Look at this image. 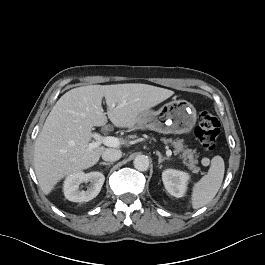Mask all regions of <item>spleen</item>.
Instances as JSON below:
<instances>
[{"instance_id": "3e777b00", "label": "spleen", "mask_w": 265, "mask_h": 265, "mask_svg": "<svg viewBox=\"0 0 265 265\" xmlns=\"http://www.w3.org/2000/svg\"><path fill=\"white\" fill-rule=\"evenodd\" d=\"M224 172L223 158L219 155L214 156L208 173L193 186L190 202L194 209H199L212 201L221 187Z\"/></svg>"}]
</instances>
